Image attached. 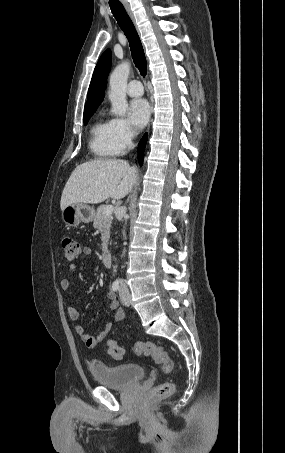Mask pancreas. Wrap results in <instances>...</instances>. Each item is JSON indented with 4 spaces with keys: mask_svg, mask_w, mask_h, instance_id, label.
I'll list each match as a JSON object with an SVG mask.
<instances>
[{
    "mask_svg": "<svg viewBox=\"0 0 285 453\" xmlns=\"http://www.w3.org/2000/svg\"><path fill=\"white\" fill-rule=\"evenodd\" d=\"M104 207L105 206H100L94 214L93 227L101 231L102 251L106 252L108 249L107 242L110 237V226L113 216L112 214H103Z\"/></svg>",
    "mask_w": 285,
    "mask_h": 453,
    "instance_id": "obj_1",
    "label": "pancreas"
}]
</instances>
